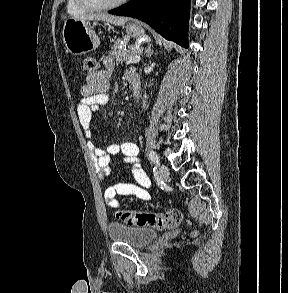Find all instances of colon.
Masks as SVG:
<instances>
[{
    "mask_svg": "<svg viewBox=\"0 0 288 293\" xmlns=\"http://www.w3.org/2000/svg\"><path fill=\"white\" fill-rule=\"evenodd\" d=\"M98 67L99 64L96 58L92 56H86L84 58L83 73L86 78L94 75ZM116 217L129 225L168 229L180 223L181 213L177 209H171L162 213L119 210L116 212Z\"/></svg>",
    "mask_w": 288,
    "mask_h": 293,
    "instance_id": "obj_1",
    "label": "colon"
}]
</instances>
